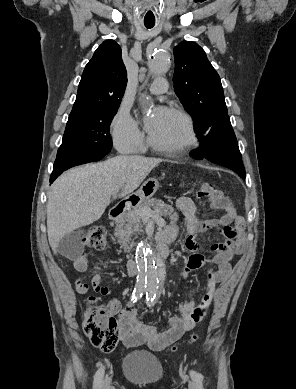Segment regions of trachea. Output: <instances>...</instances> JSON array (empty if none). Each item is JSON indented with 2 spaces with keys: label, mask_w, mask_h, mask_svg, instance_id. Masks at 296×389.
I'll list each match as a JSON object with an SVG mask.
<instances>
[{
  "label": "trachea",
  "mask_w": 296,
  "mask_h": 389,
  "mask_svg": "<svg viewBox=\"0 0 296 389\" xmlns=\"http://www.w3.org/2000/svg\"><path fill=\"white\" fill-rule=\"evenodd\" d=\"M153 26L154 25L145 24V27L148 28V29L152 28Z\"/></svg>",
  "instance_id": "obj_1"
}]
</instances>
